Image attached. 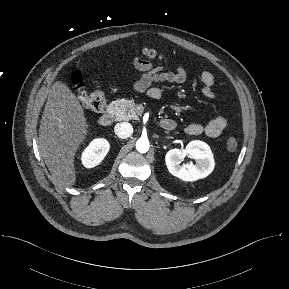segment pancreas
<instances>
[{
  "mask_svg": "<svg viewBox=\"0 0 289 289\" xmlns=\"http://www.w3.org/2000/svg\"><path fill=\"white\" fill-rule=\"evenodd\" d=\"M110 112L115 115L117 121L137 120L138 114L135 111V104L128 99H117L111 102Z\"/></svg>",
  "mask_w": 289,
  "mask_h": 289,
  "instance_id": "obj_1",
  "label": "pancreas"
}]
</instances>
